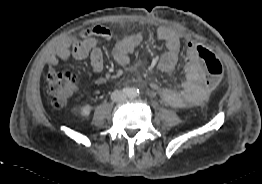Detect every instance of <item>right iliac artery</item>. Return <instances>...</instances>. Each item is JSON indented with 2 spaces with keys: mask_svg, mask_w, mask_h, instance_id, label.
Wrapping results in <instances>:
<instances>
[{
  "mask_svg": "<svg viewBox=\"0 0 262 184\" xmlns=\"http://www.w3.org/2000/svg\"><path fill=\"white\" fill-rule=\"evenodd\" d=\"M134 90H135V89L126 87V88H123L122 92H123L125 95H127V96L130 97V96L133 94Z\"/></svg>",
  "mask_w": 262,
  "mask_h": 184,
  "instance_id": "right-iliac-artery-1",
  "label": "right iliac artery"
}]
</instances>
